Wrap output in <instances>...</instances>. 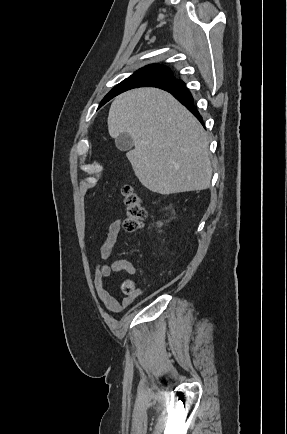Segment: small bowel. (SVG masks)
I'll use <instances>...</instances> for the list:
<instances>
[{
	"label": "small bowel",
	"mask_w": 287,
	"mask_h": 434,
	"mask_svg": "<svg viewBox=\"0 0 287 434\" xmlns=\"http://www.w3.org/2000/svg\"><path fill=\"white\" fill-rule=\"evenodd\" d=\"M120 231L121 221L119 219H116L109 224L105 238L100 246V258L102 262L98 263L94 277V284L99 300L105 308L114 313L122 312L126 307L133 304L141 294L140 290H138L134 294L119 300L113 296L108 289L107 280L115 273L120 271L133 273L135 271L133 265L126 259L120 258L113 260L110 263L103 262L110 259L112 256V251L117 242Z\"/></svg>",
	"instance_id": "c3829d8e"
}]
</instances>
